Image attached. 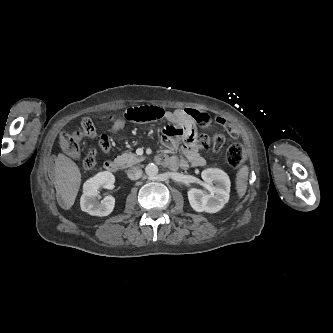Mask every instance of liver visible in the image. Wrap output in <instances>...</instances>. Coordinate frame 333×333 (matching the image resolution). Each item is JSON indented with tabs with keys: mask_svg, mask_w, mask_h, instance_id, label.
Listing matches in <instances>:
<instances>
[{
	"mask_svg": "<svg viewBox=\"0 0 333 333\" xmlns=\"http://www.w3.org/2000/svg\"><path fill=\"white\" fill-rule=\"evenodd\" d=\"M55 184L64 206L72 207L80 188L81 173L76 163L61 153L55 162Z\"/></svg>",
	"mask_w": 333,
	"mask_h": 333,
	"instance_id": "obj_1",
	"label": "liver"
}]
</instances>
